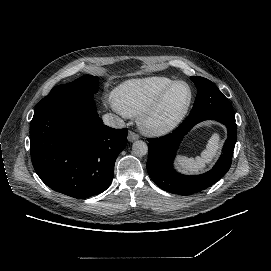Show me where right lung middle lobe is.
<instances>
[{
  "label": "right lung middle lobe",
  "mask_w": 271,
  "mask_h": 271,
  "mask_svg": "<svg viewBox=\"0 0 271 271\" xmlns=\"http://www.w3.org/2000/svg\"><path fill=\"white\" fill-rule=\"evenodd\" d=\"M97 92V77L84 75L73 82L58 85L43 98L35 108L38 112L42 108L61 104L87 101L94 103L92 97Z\"/></svg>",
  "instance_id": "right-lung-middle-lobe-1"
}]
</instances>
